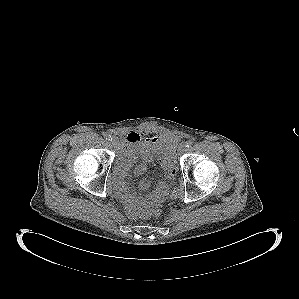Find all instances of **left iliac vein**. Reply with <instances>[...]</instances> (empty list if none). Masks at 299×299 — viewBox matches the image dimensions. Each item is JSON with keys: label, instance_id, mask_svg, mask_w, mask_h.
Here are the masks:
<instances>
[{"label": "left iliac vein", "instance_id": "left-iliac-vein-1", "mask_svg": "<svg viewBox=\"0 0 299 299\" xmlns=\"http://www.w3.org/2000/svg\"><path fill=\"white\" fill-rule=\"evenodd\" d=\"M186 150H187L186 143H181V144L179 145V149H178L179 154L184 153Z\"/></svg>", "mask_w": 299, "mask_h": 299}]
</instances>
